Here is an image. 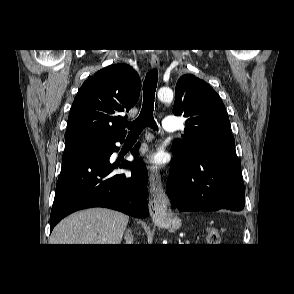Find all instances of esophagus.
<instances>
[{"instance_id": "34e87169", "label": "esophagus", "mask_w": 294, "mask_h": 294, "mask_svg": "<svg viewBox=\"0 0 294 294\" xmlns=\"http://www.w3.org/2000/svg\"><path fill=\"white\" fill-rule=\"evenodd\" d=\"M150 63L153 68H159L160 60L156 54H152ZM151 199L149 201V212L153 221L162 219L167 212L169 199L164 192L161 176L154 169L149 178Z\"/></svg>"}]
</instances>
